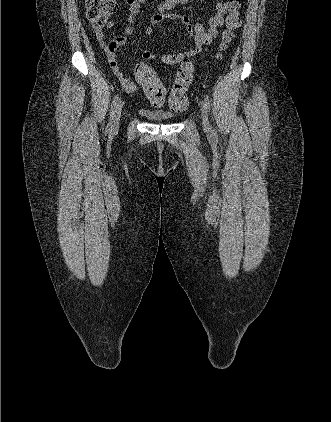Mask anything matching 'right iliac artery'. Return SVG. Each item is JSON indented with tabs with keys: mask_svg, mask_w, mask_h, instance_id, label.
Returning <instances> with one entry per match:
<instances>
[{
	"mask_svg": "<svg viewBox=\"0 0 331 422\" xmlns=\"http://www.w3.org/2000/svg\"><path fill=\"white\" fill-rule=\"evenodd\" d=\"M118 100H119V95L117 94V95L113 98V101H112V104H111L110 120H109V124H108V126H107L108 130H111V129H112V120H113V117H114V112H115L114 110H115V108H116V105H117Z\"/></svg>",
	"mask_w": 331,
	"mask_h": 422,
	"instance_id": "right-iliac-artery-1",
	"label": "right iliac artery"
}]
</instances>
